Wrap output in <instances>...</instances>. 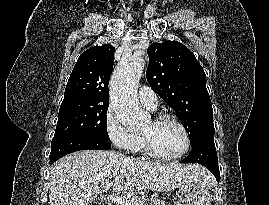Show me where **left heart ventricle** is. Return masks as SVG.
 <instances>
[{"instance_id": "left-heart-ventricle-1", "label": "left heart ventricle", "mask_w": 269, "mask_h": 205, "mask_svg": "<svg viewBox=\"0 0 269 205\" xmlns=\"http://www.w3.org/2000/svg\"><path fill=\"white\" fill-rule=\"evenodd\" d=\"M141 135L149 139L152 146L161 154L175 155L185 147V138L181 129L170 121L154 124L150 121L143 128Z\"/></svg>"}]
</instances>
